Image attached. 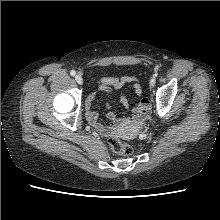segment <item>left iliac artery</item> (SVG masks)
I'll return each mask as SVG.
<instances>
[{
    "label": "left iliac artery",
    "instance_id": "44dca946",
    "mask_svg": "<svg viewBox=\"0 0 220 220\" xmlns=\"http://www.w3.org/2000/svg\"><path fill=\"white\" fill-rule=\"evenodd\" d=\"M154 76L157 77V76H158V73H155Z\"/></svg>",
    "mask_w": 220,
    "mask_h": 220
}]
</instances>
